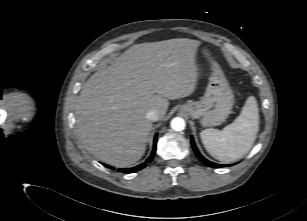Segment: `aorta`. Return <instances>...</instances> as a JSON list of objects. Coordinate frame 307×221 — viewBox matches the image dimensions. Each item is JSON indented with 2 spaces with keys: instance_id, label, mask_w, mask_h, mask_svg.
I'll use <instances>...</instances> for the list:
<instances>
[{
  "instance_id": "aorta-1",
  "label": "aorta",
  "mask_w": 307,
  "mask_h": 221,
  "mask_svg": "<svg viewBox=\"0 0 307 221\" xmlns=\"http://www.w3.org/2000/svg\"><path fill=\"white\" fill-rule=\"evenodd\" d=\"M170 126L174 131H182L186 126L185 120L180 117H175L172 119Z\"/></svg>"
}]
</instances>
